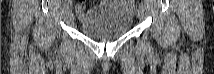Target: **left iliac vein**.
Here are the masks:
<instances>
[{
    "mask_svg": "<svg viewBox=\"0 0 214 74\" xmlns=\"http://www.w3.org/2000/svg\"><path fill=\"white\" fill-rule=\"evenodd\" d=\"M136 15L141 20L144 17V11H143V9H140V8L137 9Z\"/></svg>",
    "mask_w": 214,
    "mask_h": 74,
    "instance_id": "obj_1",
    "label": "left iliac vein"
}]
</instances>
